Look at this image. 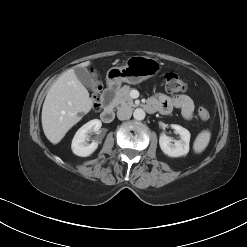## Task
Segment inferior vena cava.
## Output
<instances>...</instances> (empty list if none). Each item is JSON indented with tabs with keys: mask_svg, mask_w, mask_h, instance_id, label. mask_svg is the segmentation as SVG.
<instances>
[{
	"mask_svg": "<svg viewBox=\"0 0 247 247\" xmlns=\"http://www.w3.org/2000/svg\"><path fill=\"white\" fill-rule=\"evenodd\" d=\"M132 115V108L128 105H123L118 108L117 117L119 120H127Z\"/></svg>",
	"mask_w": 247,
	"mask_h": 247,
	"instance_id": "obj_1",
	"label": "inferior vena cava"
}]
</instances>
